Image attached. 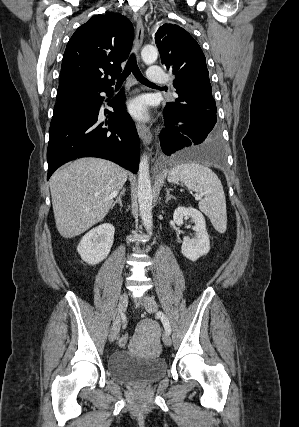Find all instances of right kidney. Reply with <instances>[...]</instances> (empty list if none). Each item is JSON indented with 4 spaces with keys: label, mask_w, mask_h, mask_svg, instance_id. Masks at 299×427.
I'll return each mask as SVG.
<instances>
[{
    "label": "right kidney",
    "mask_w": 299,
    "mask_h": 427,
    "mask_svg": "<svg viewBox=\"0 0 299 427\" xmlns=\"http://www.w3.org/2000/svg\"><path fill=\"white\" fill-rule=\"evenodd\" d=\"M115 228L110 223L101 224L81 239L77 251L81 259L89 265H96L109 254L114 241Z\"/></svg>",
    "instance_id": "1"
}]
</instances>
